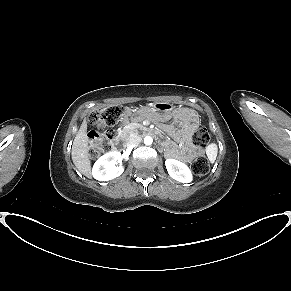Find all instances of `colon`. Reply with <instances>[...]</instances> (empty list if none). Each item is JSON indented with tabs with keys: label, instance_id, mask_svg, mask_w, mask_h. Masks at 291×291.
Here are the masks:
<instances>
[{
	"label": "colon",
	"instance_id": "obj_1",
	"mask_svg": "<svg viewBox=\"0 0 291 291\" xmlns=\"http://www.w3.org/2000/svg\"><path fill=\"white\" fill-rule=\"evenodd\" d=\"M124 114L121 106H108L99 109L92 117L95 130L89 133V152L92 157H99L109 153L116 136L112 127L118 123ZM210 139L209 132L205 126L199 127L193 134L192 144L196 148H204ZM192 169L197 175H204L208 172V160L204 156H198Z\"/></svg>",
	"mask_w": 291,
	"mask_h": 291
}]
</instances>
